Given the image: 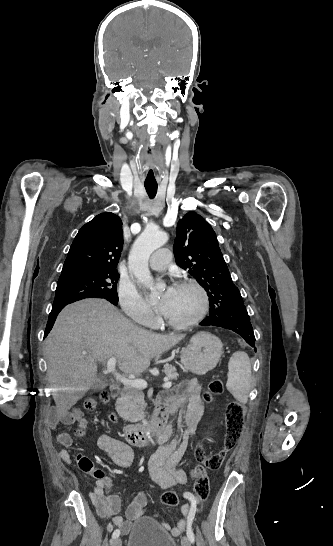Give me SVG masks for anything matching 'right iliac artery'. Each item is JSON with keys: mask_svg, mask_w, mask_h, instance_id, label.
Here are the masks:
<instances>
[{"mask_svg": "<svg viewBox=\"0 0 333 546\" xmlns=\"http://www.w3.org/2000/svg\"><path fill=\"white\" fill-rule=\"evenodd\" d=\"M119 535H120V530H119V529H116V530L113 532V534H112V539L117 538Z\"/></svg>", "mask_w": 333, "mask_h": 546, "instance_id": "1", "label": "right iliac artery"}]
</instances>
